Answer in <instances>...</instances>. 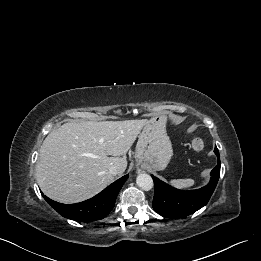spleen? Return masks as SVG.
<instances>
[{"mask_svg": "<svg viewBox=\"0 0 261 261\" xmlns=\"http://www.w3.org/2000/svg\"><path fill=\"white\" fill-rule=\"evenodd\" d=\"M170 184L178 189H186L194 185L193 179H173Z\"/></svg>", "mask_w": 261, "mask_h": 261, "instance_id": "obj_1", "label": "spleen"}]
</instances>
